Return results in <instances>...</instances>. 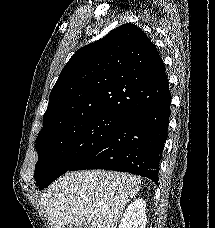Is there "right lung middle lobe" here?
Instances as JSON below:
<instances>
[{
	"instance_id": "right-lung-middle-lobe-1",
	"label": "right lung middle lobe",
	"mask_w": 215,
	"mask_h": 228,
	"mask_svg": "<svg viewBox=\"0 0 215 228\" xmlns=\"http://www.w3.org/2000/svg\"><path fill=\"white\" fill-rule=\"evenodd\" d=\"M123 119L122 116L103 114L40 132L35 145L38 162L34 174L39 189L43 190L69 171Z\"/></svg>"
}]
</instances>
